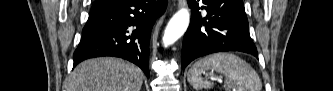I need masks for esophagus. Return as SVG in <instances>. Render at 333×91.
Wrapping results in <instances>:
<instances>
[{
    "mask_svg": "<svg viewBox=\"0 0 333 91\" xmlns=\"http://www.w3.org/2000/svg\"><path fill=\"white\" fill-rule=\"evenodd\" d=\"M183 5V0L178 1V7H181Z\"/></svg>",
    "mask_w": 333,
    "mask_h": 91,
    "instance_id": "obj_1",
    "label": "esophagus"
}]
</instances>
